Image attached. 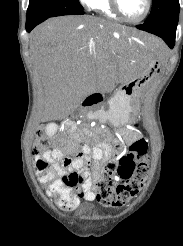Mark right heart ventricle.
Returning a JSON list of instances; mask_svg holds the SVG:
<instances>
[{
    "mask_svg": "<svg viewBox=\"0 0 183 246\" xmlns=\"http://www.w3.org/2000/svg\"><path fill=\"white\" fill-rule=\"evenodd\" d=\"M89 7L97 13L112 19H119V16L113 11L110 0H91Z\"/></svg>",
    "mask_w": 183,
    "mask_h": 246,
    "instance_id": "obj_1",
    "label": "right heart ventricle"
}]
</instances>
